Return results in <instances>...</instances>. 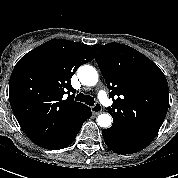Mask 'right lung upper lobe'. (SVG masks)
Here are the masks:
<instances>
[{
  "label": "right lung upper lobe",
  "instance_id": "cb5924a9",
  "mask_svg": "<svg viewBox=\"0 0 178 178\" xmlns=\"http://www.w3.org/2000/svg\"><path fill=\"white\" fill-rule=\"evenodd\" d=\"M94 58L90 45L52 39L24 55L9 81L12 111L37 145L68 137L90 108L75 102L71 77ZM64 94H68L66 99Z\"/></svg>",
  "mask_w": 178,
  "mask_h": 178
}]
</instances>
